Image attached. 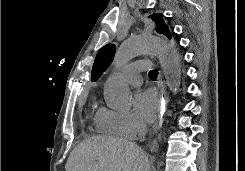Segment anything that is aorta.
Masks as SVG:
<instances>
[{
    "label": "aorta",
    "instance_id": "762f6f07",
    "mask_svg": "<svg viewBox=\"0 0 245 171\" xmlns=\"http://www.w3.org/2000/svg\"><path fill=\"white\" fill-rule=\"evenodd\" d=\"M146 53H153L159 58L170 89L176 91L181 78V67H178L180 58L165 40L142 35L124 40L115 57L114 66L116 69H120L134 57ZM104 98L109 108L118 111H128L133 102V96L128 85L117 75H112L107 80L104 86Z\"/></svg>",
    "mask_w": 245,
    "mask_h": 171
}]
</instances>
